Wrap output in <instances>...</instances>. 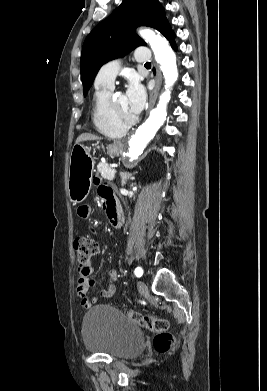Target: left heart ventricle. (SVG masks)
I'll return each instance as SVG.
<instances>
[{
  "instance_id": "obj_1",
  "label": "left heart ventricle",
  "mask_w": 267,
  "mask_h": 391,
  "mask_svg": "<svg viewBox=\"0 0 267 391\" xmlns=\"http://www.w3.org/2000/svg\"><path fill=\"white\" fill-rule=\"evenodd\" d=\"M112 102H113V105L117 111V113L123 117V118H126V119H129V118H132L134 117L135 115L130 111L129 109V106H128V102H127V99H126V96L124 94H116L113 98H112Z\"/></svg>"
}]
</instances>
